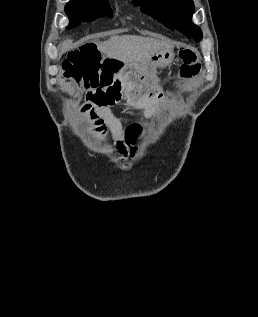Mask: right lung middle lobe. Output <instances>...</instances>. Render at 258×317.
<instances>
[{
	"mask_svg": "<svg viewBox=\"0 0 258 317\" xmlns=\"http://www.w3.org/2000/svg\"><path fill=\"white\" fill-rule=\"evenodd\" d=\"M65 12L83 21L112 16L108 0H71L66 4Z\"/></svg>",
	"mask_w": 258,
	"mask_h": 317,
	"instance_id": "dd1d6c3e",
	"label": "right lung middle lobe"
}]
</instances>
